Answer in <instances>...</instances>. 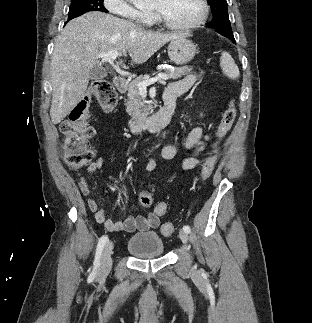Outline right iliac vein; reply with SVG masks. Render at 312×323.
Instances as JSON below:
<instances>
[{"label":"right iliac vein","mask_w":312,"mask_h":323,"mask_svg":"<svg viewBox=\"0 0 312 323\" xmlns=\"http://www.w3.org/2000/svg\"><path fill=\"white\" fill-rule=\"evenodd\" d=\"M113 247L114 245L111 241H108L104 247V250L101 256V265L98 272L99 277L105 276L109 272L112 266L111 254L113 251Z\"/></svg>","instance_id":"right-iliac-vein-1"}]
</instances>
